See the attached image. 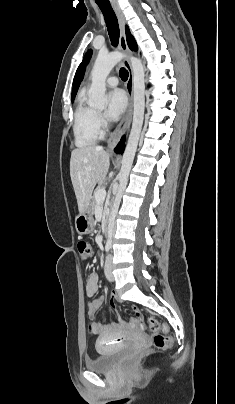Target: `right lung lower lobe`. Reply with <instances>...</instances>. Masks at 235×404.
<instances>
[{
  "label": "right lung lower lobe",
  "mask_w": 235,
  "mask_h": 404,
  "mask_svg": "<svg viewBox=\"0 0 235 404\" xmlns=\"http://www.w3.org/2000/svg\"><path fill=\"white\" fill-rule=\"evenodd\" d=\"M124 141H125V139L122 138L121 141L119 142V144L117 145V147L114 150L116 153H122L123 152V150H124Z\"/></svg>",
  "instance_id": "right-lung-lower-lobe-1"
}]
</instances>
